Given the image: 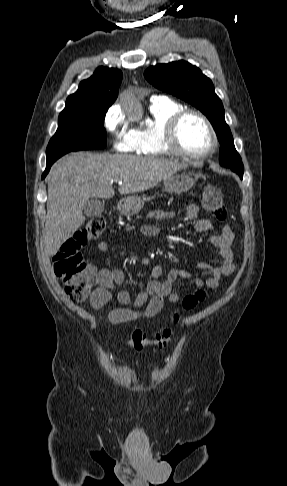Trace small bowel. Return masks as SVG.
<instances>
[{
    "label": "small bowel",
    "mask_w": 287,
    "mask_h": 486,
    "mask_svg": "<svg viewBox=\"0 0 287 486\" xmlns=\"http://www.w3.org/2000/svg\"><path fill=\"white\" fill-rule=\"evenodd\" d=\"M198 206L189 205L186 209V217L195 220L194 228L198 232H205L212 229V222L208 218H198ZM177 217L174 211L153 210L148 213L146 219L167 220ZM143 235L158 237L159 229L149 223H143L140 228ZM234 239V233L228 225H224L219 234H213L209 237L210 243L219 251L221 263L212 266L206 263L199 265L201 270H209L211 276L206 280L194 278L193 284L198 287L207 286L217 288L222 277L230 276L236 271V263L231 248ZM98 250L107 252L109 244L101 240ZM152 279L145 285L144 289L132 296L126 290L115 291L116 286H120L125 281V275L120 269L102 268L99 270L96 278V288L90 295L89 302L94 309H100L106 305L113 297L123 306L116 308L109 314V320L113 324L126 323L141 318H150L155 316L163 307L164 299L167 298L171 303H176L180 295L173 290L175 281L182 278L193 277L192 273L182 269L172 268L166 274L161 265H154L151 269Z\"/></svg>",
    "instance_id": "c3829d8e"
}]
</instances>
